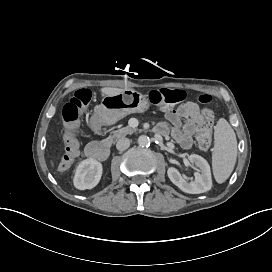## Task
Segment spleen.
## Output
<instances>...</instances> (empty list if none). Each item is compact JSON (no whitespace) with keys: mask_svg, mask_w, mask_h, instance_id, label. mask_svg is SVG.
<instances>
[{"mask_svg":"<svg viewBox=\"0 0 272 272\" xmlns=\"http://www.w3.org/2000/svg\"><path fill=\"white\" fill-rule=\"evenodd\" d=\"M237 158L236 135L230 124L220 118L214 127L212 169L215 180L221 184L231 175Z\"/></svg>","mask_w":272,"mask_h":272,"instance_id":"obj_1","label":"spleen"}]
</instances>
